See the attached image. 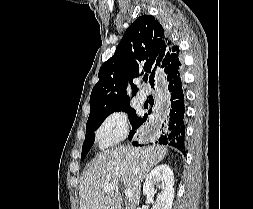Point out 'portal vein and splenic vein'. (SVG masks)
<instances>
[{
	"instance_id": "18ae733b",
	"label": "portal vein and splenic vein",
	"mask_w": 253,
	"mask_h": 209,
	"mask_svg": "<svg viewBox=\"0 0 253 209\" xmlns=\"http://www.w3.org/2000/svg\"><path fill=\"white\" fill-rule=\"evenodd\" d=\"M115 188H117V186L115 185V184H113V183H108V184H106V185H104V188H103V191L105 192V193H110V192H112ZM125 197L126 198H131L132 197V190L131 189H126L125 190Z\"/></svg>"
}]
</instances>
